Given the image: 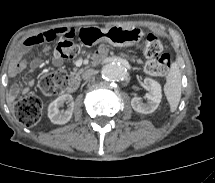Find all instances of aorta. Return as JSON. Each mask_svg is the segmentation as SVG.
Instances as JSON below:
<instances>
[{
    "label": "aorta",
    "mask_w": 215,
    "mask_h": 183,
    "mask_svg": "<svg viewBox=\"0 0 215 183\" xmlns=\"http://www.w3.org/2000/svg\"><path fill=\"white\" fill-rule=\"evenodd\" d=\"M126 75V67L119 63H108L101 69L102 78L108 81H121Z\"/></svg>",
    "instance_id": "obj_1"
}]
</instances>
